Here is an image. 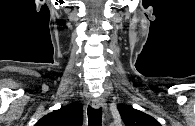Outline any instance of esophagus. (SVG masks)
<instances>
[{
	"mask_svg": "<svg viewBox=\"0 0 195 126\" xmlns=\"http://www.w3.org/2000/svg\"><path fill=\"white\" fill-rule=\"evenodd\" d=\"M92 106L96 109L103 108V110L106 112V105L101 98L92 99Z\"/></svg>",
	"mask_w": 195,
	"mask_h": 126,
	"instance_id": "obj_1",
	"label": "esophagus"
}]
</instances>
